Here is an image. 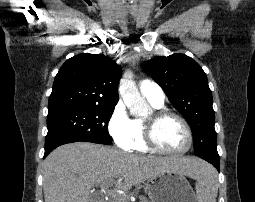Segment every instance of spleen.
<instances>
[{
  "label": "spleen",
  "instance_id": "obj_1",
  "mask_svg": "<svg viewBox=\"0 0 255 202\" xmlns=\"http://www.w3.org/2000/svg\"><path fill=\"white\" fill-rule=\"evenodd\" d=\"M196 197L198 202H216L218 174L208 164L200 163L196 168Z\"/></svg>",
  "mask_w": 255,
  "mask_h": 202
}]
</instances>
